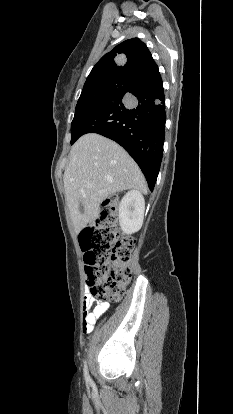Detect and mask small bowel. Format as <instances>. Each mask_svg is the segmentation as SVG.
<instances>
[{"label": "small bowel", "mask_w": 233, "mask_h": 414, "mask_svg": "<svg viewBox=\"0 0 233 414\" xmlns=\"http://www.w3.org/2000/svg\"><path fill=\"white\" fill-rule=\"evenodd\" d=\"M85 296L83 302V332L90 333L94 329L96 321L107 311L109 304L107 302H99L93 307L94 298L88 294L91 292L90 288L85 289Z\"/></svg>", "instance_id": "1"}]
</instances>
